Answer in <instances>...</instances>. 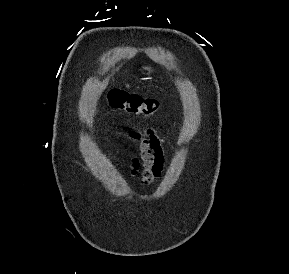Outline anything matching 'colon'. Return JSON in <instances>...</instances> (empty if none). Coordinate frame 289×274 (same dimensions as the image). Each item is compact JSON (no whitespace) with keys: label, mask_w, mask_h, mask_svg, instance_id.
<instances>
[{"label":"colon","mask_w":289,"mask_h":274,"mask_svg":"<svg viewBox=\"0 0 289 274\" xmlns=\"http://www.w3.org/2000/svg\"><path fill=\"white\" fill-rule=\"evenodd\" d=\"M107 100L113 108L144 117L154 115L161 107V102L156 99L144 98L117 89L109 91Z\"/></svg>","instance_id":"5ec220e1"}]
</instances>
